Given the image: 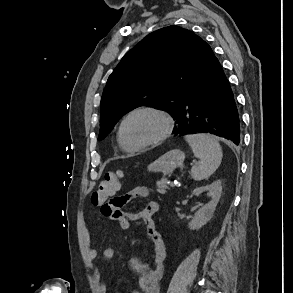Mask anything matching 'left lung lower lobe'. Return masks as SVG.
<instances>
[{"label": "left lung lower lobe", "instance_id": "1", "mask_svg": "<svg viewBox=\"0 0 293 293\" xmlns=\"http://www.w3.org/2000/svg\"><path fill=\"white\" fill-rule=\"evenodd\" d=\"M174 134L211 133L240 143L239 115L233 93L217 58L205 80L182 103Z\"/></svg>", "mask_w": 293, "mask_h": 293}]
</instances>
